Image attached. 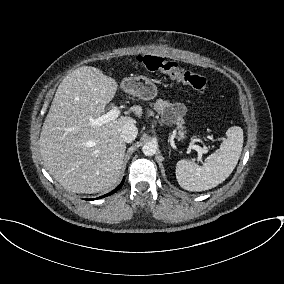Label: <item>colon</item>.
<instances>
[{"mask_svg": "<svg viewBox=\"0 0 284 284\" xmlns=\"http://www.w3.org/2000/svg\"><path fill=\"white\" fill-rule=\"evenodd\" d=\"M137 60L147 70L162 72L171 79L187 85L198 92L203 93L207 88V80L204 76L184 69L174 61L151 55L139 56Z\"/></svg>", "mask_w": 284, "mask_h": 284, "instance_id": "1", "label": "colon"}]
</instances>
